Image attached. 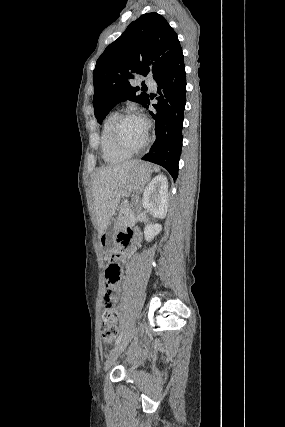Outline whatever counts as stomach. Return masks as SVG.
I'll return each mask as SVG.
<instances>
[{
    "label": "stomach",
    "instance_id": "stomach-1",
    "mask_svg": "<svg viewBox=\"0 0 285 427\" xmlns=\"http://www.w3.org/2000/svg\"><path fill=\"white\" fill-rule=\"evenodd\" d=\"M151 166L147 163L138 162L135 164L129 173L128 181L125 187V192H140L150 180ZM118 229V225L111 221L102 235L99 237V244L103 251L108 252L113 245V237Z\"/></svg>",
    "mask_w": 285,
    "mask_h": 427
}]
</instances>
